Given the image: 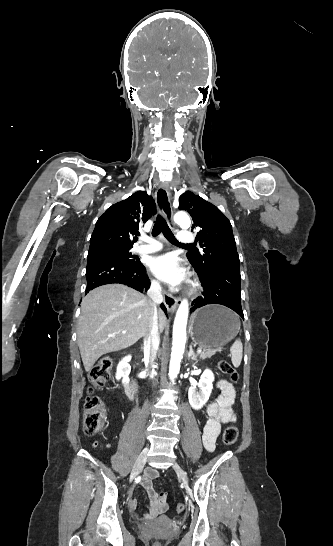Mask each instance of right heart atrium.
I'll return each mask as SVG.
<instances>
[{"instance_id": "obj_1", "label": "right heart atrium", "mask_w": 333, "mask_h": 546, "mask_svg": "<svg viewBox=\"0 0 333 546\" xmlns=\"http://www.w3.org/2000/svg\"><path fill=\"white\" fill-rule=\"evenodd\" d=\"M151 284L154 287H158V283L155 280H151Z\"/></svg>"}]
</instances>
